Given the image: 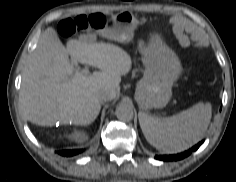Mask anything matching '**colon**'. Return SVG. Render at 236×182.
Returning <instances> with one entry per match:
<instances>
[{
  "label": "colon",
  "mask_w": 236,
  "mask_h": 182,
  "mask_svg": "<svg viewBox=\"0 0 236 182\" xmlns=\"http://www.w3.org/2000/svg\"><path fill=\"white\" fill-rule=\"evenodd\" d=\"M106 24L107 20L105 16L100 13H95L65 19L59 23L58 30L63 37L68 38L86 29H101Z\"/></svg>",
  "instance_id": "5ec220e1"
}]
</instances>
